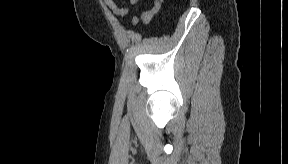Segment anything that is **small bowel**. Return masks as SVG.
I'll return each instance as SVG.
<instances>
[{"label": "small bowel", "instance_id": "small-bowel-1", "mask_svg": "<svg viewBox=\"0 0 288 164\" xmlns=\"http://www.w3.org/2000/svg\"><path fill=\"white\" fill-rule=\"evenodd\" d=\"M158 10L159 8L154 6L151 10L144 12L141 17L143 18L146 14H148L152 18L153 15L158 12Z\"/></svg>", "mask_w": 288, "mask_h": 164}]
</instances>
